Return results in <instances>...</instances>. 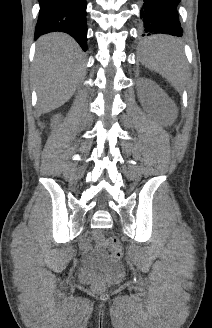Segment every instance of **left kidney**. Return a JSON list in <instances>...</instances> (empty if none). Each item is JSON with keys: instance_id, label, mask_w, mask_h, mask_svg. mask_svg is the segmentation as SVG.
<instances>
[{"instance_id": "5707ae66", "label": "left kidney", "mask_w": 212, "mask_h": 328, "mask_svg": "<svg viewBox=\"0 0 212 328\" xmlns=\"http://www.w3.org/2000/svg\"><path fill=\"white\" fill-rule=\"evenodd\" d=\"M140 100L143 103L145 95L150 92L159 99L163 110V119L166 125H170L177 117V108L173 101L158 86L147 79L141 81L139 86Z\"/></svg>"}]
</instances>
